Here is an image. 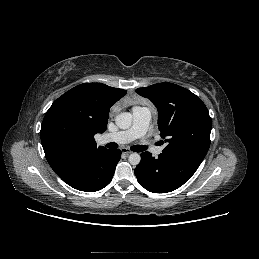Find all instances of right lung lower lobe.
Masks as SVG:
<instances>
[{"mask_svg": "<svg viewBox=\"0 0 259 259\" xmlns=\"http://www.w3.org/2000/svg\"><path fill=\"white\" fill-rule=\"evenodd\" d=\"M120 158L119 149H106L86 157L73 159L55 172L71 187L80 191L94 192L111 182Z\"/></svg>", "mask_w": 259, "mask_h": 259, "instance_id": "right-lung-lower-lobe-1", "label": "right lung lower lobe"}]
</instances>
